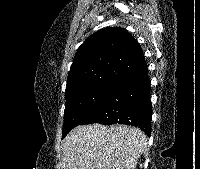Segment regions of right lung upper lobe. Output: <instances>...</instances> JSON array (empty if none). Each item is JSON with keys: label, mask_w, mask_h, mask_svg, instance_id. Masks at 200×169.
<instances>
[{"label": "right lung upper lobe", "mask_w": 200, "mask_h": 169, "mask_svg": "<svg viewBox=\"0 0 200 169\" xmlns=\"http://www.w3.org/2000/svg\"><path fill=\"white\" fill-rule=\"evenodd\" d=\"M146 70L142 49L128 31L101 29L78 48L67 80L66 99L96 82L120 81Z\"/></svg>", "instance_id": "1"}]
</instances>
